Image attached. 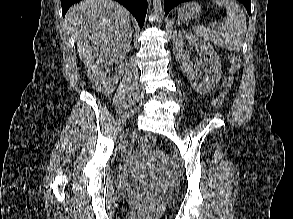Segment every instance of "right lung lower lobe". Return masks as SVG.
I'll return each mask as SVG.
<instances>
[{
    "instance_id": "1",
    "label": "right lung lower lobe",
    "mask_w": 293,
    "mask_h": 219,
    "mask_svg": "<svg viewBox=\"0 0 293 219\" xmlns=\"http://www.w3.org/2000/svg\"><path fill=\"white\" fill-rule=\"evenodd\" d=\"M80 0H61L62 13L65 16L69 7ZM124 5L136 18L140 27L143 26L147 12V0H115Z\"/></svg>"
}]
</instances>
